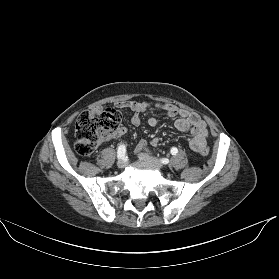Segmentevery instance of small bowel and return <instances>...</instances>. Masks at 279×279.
<instances>
[{"label":"small bowel","mask_w":279,"mask_h":279,"mask_svg":"<svg viewBox=\"0 0 279 279\" xmlns=\"http://www.w3.org/2000/svg\"><path fill=\"white\" fill-rule=\"evenodd\" d=\"M118 108H126L132 111L133 115L131 122L135 126L141 124L140 114L147 111L148 109L155 107L166 111L169 117H176L175 127L182 132H191V137L187 139L188 146L191 150L199 152L202 148L207 145L208 129L207 125L201 117L195 113H191L187 110L180 109L172 104H152L145 101H119L116 103ZM147 123L150 127L157 125V119L155 117H149ZM127 133L126 128H120L112 136H123ZM158 138H153L151 141L152 146L158 145ZM146 147V142L141 141L138 150H142Z\"/></svg>","instance_id":"small-bowel-1"}]
</instances>
